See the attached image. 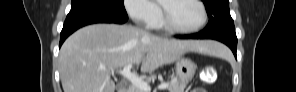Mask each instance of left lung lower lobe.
<instances>
[{
    "label": "left lung lower lobe",
    "instance_id": "left-lung-lower-lobe-1",
    "mask_svg": "<svg viewBox=\"0 0 296 92\" xmlns=\"http://www.w3.org/2000/svg\"><path fill=\"white\" fill-rule=\"evenodd\" d=\"M177 38H191V39H214L218 40L220 42H223L226 44L230 49L233 51L235 57H236V51H237V37L236 34H229V33H223V34H218V35H212L208 36L204 34L202 31L196 34H191V35H177Z\"/></svg>",
    "mask_w": 296,
    "mask_h": 92
}]
</instances>
